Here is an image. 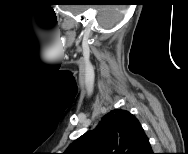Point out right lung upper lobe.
Instances as JSON below:
<instances>
[{"label": "right lung upper lobe", "instance_id": "1", "mask_svg": "<svg viewBox=\"0 0 188 154\" xmlns=\"http://www.w3.org/2000/svg\"><path fill=\"white\" fill-rule=\"evenodd\" d=\"M151 149L139 120L130 112L114 109L92 131L76 139L64 154H146Z\"/></svg>", "mask_w": 188, "mask_h": 154}]
</instances>
